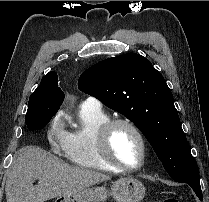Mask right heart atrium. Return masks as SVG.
<instances>
[{"label": "right heart atrium", "instance_id": "d8ad5b80", "mask_svg": "<svg viewBox=\"0 0 209 202\" xmlns=\"http://www.w3.org/2000/svg\"><path fill=\"white\" fill-rule=\"evenodd\" d=\"M45 136L51 144L53 151L61 152L65 149L68 132L58 114L52 116L48 121L45 128Z\"/></svg>", "mask_w": 209, "mask_h": 202}]
</instances>
